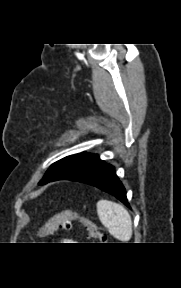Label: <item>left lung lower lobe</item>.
Wrapping results in <instances>:
<instances>
[{
    "label": "left lung lower lobe",
    "instance_id": "obj_1",
    "mask_svg": "<svg viewBox=\"0 0 181 288\" xmlns=\"http://www.w3.org/2000/svg\"><path fill=\"white\" fill-rule=\"evenodd\" d=\"M79 182L95 186L115 196L124 205L130 207L126 197L125 188L117 177L114 167L110 164L105 163L89 176L79 180Z\"/></svg>",
    "mask_w": 181,
    "mask_h": 288
}]
</instances>
